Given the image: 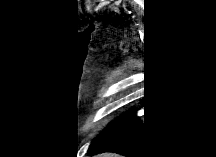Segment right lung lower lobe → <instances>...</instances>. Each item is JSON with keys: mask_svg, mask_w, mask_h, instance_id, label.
Returning a JSON list of instances; mask_svg holds the SVG:
<instances>
[{"mask_svg": "<svg viewBox=\"0 0 216 157\" xmlns=\"http://www.w3.org/2000/svg\"><path fill=\"white\" fill-rule=\"evenodd\" d=\"M157 130L144 97V109L141 103L131 106L111 133L89 147L88 154L114 152L124 157H155L159 154Z\"/></svg>", "mask_w": 216, "mask_h": 157, "instance_id": "98d812e1", "label": "right lung lower lobe"}]
</instances>
